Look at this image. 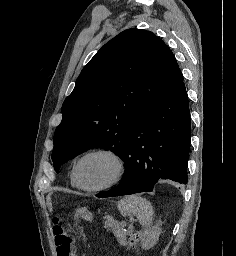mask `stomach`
Here are the masks:
<instances>
[{
	"instance_id": "stomach-1",
	"label": "stomach",
	"mask_w": 236,
	"mask_h": 256,
	"mask_svg": "<svg viewBox=\"0 0 236 256\" xmlns=\"http://www.w3.org/2000/svg\"><path fill=\"white\" fill-rule=\"evenodd\" d=\"M83 218L85 220H91L92 219V214L86 209V208H81L77 209L75 218Z\"/></svg>"
}]
</instances>
